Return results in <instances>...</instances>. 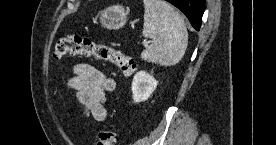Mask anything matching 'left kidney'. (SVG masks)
Here are the masks:
<instances>
[{
    "instance_id": "left-kidney-1",
    "label": "left kidney",
    "mask_w": 276,
    "mask_h": 145,
    "mask_svg": "<svg viewBox=\"0 0 276 145\" xmlns=\"http://www.w3.org/2000/svg\"><path fill=\"white\" fill-rule=\"evenodd\" d=\"M158 82L145 71L137 72L132 81L133 100L136 103L147 100L156 89Z\"/></svg>"
}]
</instances>
